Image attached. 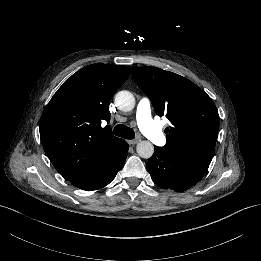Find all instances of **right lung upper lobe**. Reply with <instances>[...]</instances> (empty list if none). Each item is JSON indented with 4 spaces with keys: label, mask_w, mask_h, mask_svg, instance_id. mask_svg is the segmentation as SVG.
Here are the masks:
<instances>
[{
    "label": "right lung upper lobe",
    "mask_w": 261,
    "mask_h": 261,
    "mask_svg": "<svg viewBox=\"0 0 261 261\" xmlns=\"http://www.w3.org/2000/svg\"><path fill=\"white\" fill-rule=\"evenodd\" d=\"M131 69L91 64L68 78L40 119V138L48 158L68 181L101 166L124 143L111 134L109 102Z\"/></svg>",
    "instance_id": "1"
}]
</instances>
